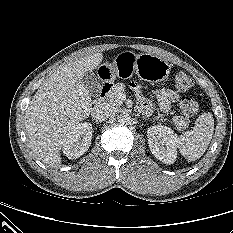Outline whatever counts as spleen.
Wrapping results in <instances>:
<instances>
[{
	"instance_id": "3e777b00",
	"label": "spleen",
	"mask_w": 233,
	"mask_h": 233,
	"mask_svg": "<svg viewBox=\"0 0 233 233\" xmlns=\"http://www.w3.org/2000/svg\"><path fill=\"white\" fill-rule=\"evenodd\" d=\"M214 131V118L210 112L200 115L192 130L183 133L178 148L187 161L199 159L209 146Z\"/></svg>"
}]
</instances>
